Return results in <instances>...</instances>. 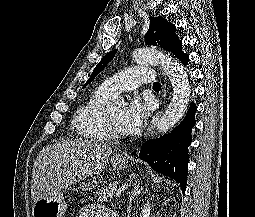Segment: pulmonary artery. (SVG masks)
Segmentation results:
<instances>
[{
	"mask_svg": "<svg viewBox=\"0 0 255 217\" xmlns=\"http://www.w3.org/2000/svg\"><path fill=\"white\" fill-rule=\"evenodd\" d=\"M154 80L151 69L143 67H132L125 69L112 77L106 79L102 86L110 94L115 95L121 91L132 90L144 83Z\"/></svg>",
	"mask_w": 255,
	"mask_h": 217,
	"instance_id": "obj_1",
	"label": "pulmonary artery"
}]
</instances>
